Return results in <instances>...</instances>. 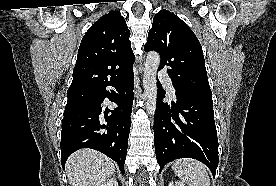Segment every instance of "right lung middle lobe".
I'll list each match as a JSON object with an SVG mask.
<instances>
[{
	"label": "right lung middle lobe",
	"instance_id": "right-lung-middle-lobe-1",
	"mask_svg": "<svg viewBox=\"0 0 276 186\" xmlns=\"http://www.w3.org/2000/svg\"><path fill=\"white\" fill-rule=\"evenodd\" d=\"M96 88H80L67 91L68 102L76 101L79 98H82L84 95L91 93Z\"/></svg>",
	"mask_w": 276,
	"mask_h": 186
}]
</instances>
